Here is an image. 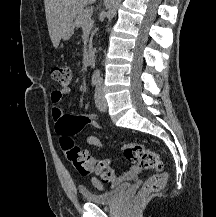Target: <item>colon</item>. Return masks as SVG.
I'll return each mask as SVG.
<instances>
[{"mask_svg": "<svg viewBox=\"0 0 216 217\" xmlns=\"http://www.w3.org/2000/svg\"><path fill=\"white\" fill-rule=\"evenodd\" d=\"M53 79L63 87H68L71 82V70L67 66L57 65L52 68ZM102 128V121L90 115H74L62 119L57 126L60 135V145L68 162L82 175L97 172L104 180L110 181L114 171L106 160L94 161L93 157L80 146L76 145L72 136L85 127ZM125 158L136 165L138 169H155L157 173L151 175L140 189L136 201L142 202L151 194L159 191L167 180V173L158 153L147 148L140 142H127L124 145Z\"/></svg>", "mask_w": 216, "mask_h": 217, "instance_id": "5ec220e1", "label": "colon"}]
</instances>
